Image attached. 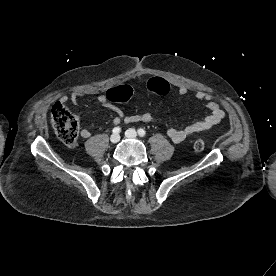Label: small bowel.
Instances as JSON below:
<instances>
[{
    "instance_id": "1",
    "label": "small bowel",
    "mask_w": 276,
    "mask_h": 276,
    "mask_svg": "<svg viewBox=\"0 0 276 276\" xmlns=\"http://www.w3.org/2000/svg\"><path fill=\"white\" fill-rule=\"evenodd\" d=\"M154 79V78H152ZM150 79V80H152ZM149 80V81H150ZM149 84V82H148ZM149 86V85H148ZM131 93H133V88L130 85L125 86ZM149 89L153 92H157L152 90L150 87ZM169 90L168 87L161 88L160 94H165ZM188 90L185 86H178L177 93L179 95L187 94ZM92 92H84V91H76L73 92L70 96H62L61 101L67 102L70 101L73 104H77L80 99L92 95ZM195 98L201 102H203L206 108L209 110V115H207L202 120L196 121L183 129H176V128H169L167 130V136L173 143H181L186 139L195 136L201 132L210 130L217 124H219L225 116L223 109L220 105L215 101L214 97L209 93L204 91H197L195 93ZM98 101L106 108L112 110L116 116L113 119V124H120L121 122L125 123H134V122H144L150 123L155 120V117L149 112H141L138 114L133 115H125L123 110L117 106L116 104L112 103L106 95H99ZM81 137L87 139L91 136V132L88 129L81 130Z\"/></svg>"
}]
</instances>
